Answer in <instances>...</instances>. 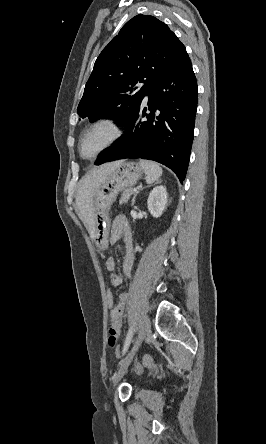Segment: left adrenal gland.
Instances as JSON below:
<instances>
[{
    "mask_svg": "<svg viewBox=\"0 0 266 444\" xmlns=\"http://www.w3.org/2000/svg\"><path fill=\"white\" fill-rule=\"evenodd\" d=\"M144 188H145V187H144ZM144 188H141L140 190H142V189H144ZM138 192H139V191H138ZM138 192L135 193V195H134V197H133V199H132V206H134L135 198H136Z\"/></svg>",
    "mask_w": 266,
    "mask_h": 444,
    "instance_id": "obj_1",
    "label": "left adrenal gland"
}]
</instances>
